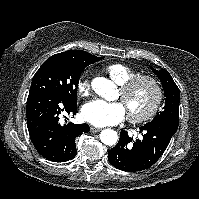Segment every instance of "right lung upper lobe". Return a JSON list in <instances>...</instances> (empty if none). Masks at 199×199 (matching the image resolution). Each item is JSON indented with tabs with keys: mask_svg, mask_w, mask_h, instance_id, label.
Instances as JSON below:
<instances>
[{
	"mask_svg": "<svg viewBox=\"0 0 199 199\" xmlns=\"http://www.w3.org/2000/svg\"><path fill=\"white\" fill-rule=\"evenodd\" d=\"M56 55L65 59H70L76 62H85V63L93 61L97 58V56L89 54L88 52L83 50H70Z\"/></svg>",
	"mask_w": 199,
	"mask_h": 199,
	"instance_id": "1",
	"label": "right lung upper lobe"
}]
</instances>
